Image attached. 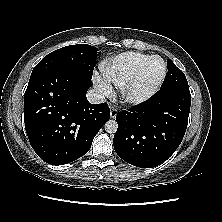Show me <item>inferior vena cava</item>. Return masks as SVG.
Wrapping results in <instances>:
<instances>
[{
	"instance_id": "1",
	"label": "inferior vena cava",
	"mask_w": 222,
	"mask_h": 222,
	"mask_svg": "<svg viewBox=\"0 0 222 222\" xmlns=\"http://www.w3.org/2000/svg\"><path fill=\"white\" fill-rule=\"evenodd\" d=\"M87 100L91 104H100L105 101V96L101 92L91 89L87 92Z\"/></svg>"
}]
</instances>
